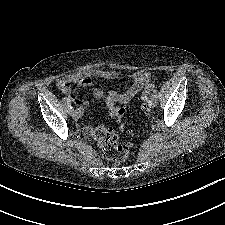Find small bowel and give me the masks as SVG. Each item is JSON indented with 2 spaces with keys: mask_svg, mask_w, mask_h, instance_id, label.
I'll return each instance as SVG.
<instances>
[{
  "mask_svg": "<svg viewBox=\"0 0 225 225\" xmlns=\"http://www.w3.org/2000/svg\"><path fill=\"white\" fill-rule=\"evenodd\" d=\"M119 71L112 69H92L86 72L71 73L61 76L56 81V86L63 93L69 95L72 101L79 106L80 112L87 106L86 102L77 97L71 90L72 84H77L82 87L90 88L96 99H101L104 96V92L101 88L96 86L94 79H106L113 80L118 78ZM131 84L123 91H110L106 96L105 102L108 108L115 106L116 104L129 103L137 93L148 83L149 73L145 70H138L130 74ZM86 133L91 135V128L85 129Z\"/></svg>",
  "mask_w": 225,
  "mask_h": 225,
  "instance_id": "1",
  "label": "small bowel"
}]
</instances>
